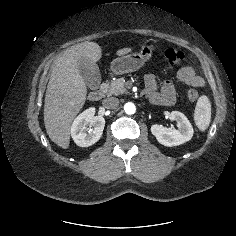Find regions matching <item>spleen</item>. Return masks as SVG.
Returning <instances> with one entry per match:
<instances>
[{"instance_id":"3e777b00","label":"spleen","mask_w":236,"mask_h":236,"mask_svg":"<svg viewBox=\"0 0 236 236\" xmlns=\"http://www.w3.org/2000/svg\"><path fill=\"white\" fill-rule=\"evenodd\" d=\"M194 121L201 131L208 128L211 121V104L207 96L199 97L194 112Z\"/></svg>"}]
</instances>
